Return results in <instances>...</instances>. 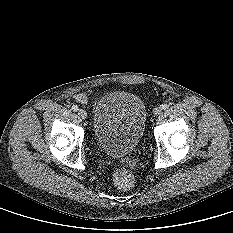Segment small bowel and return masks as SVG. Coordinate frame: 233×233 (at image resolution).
Returning a JSON list of instances; mask_svg holds the SVG:
<instances>
[{
    "instance_id": "obj_1",
    "label": "small bowel",
    "mask_w": 233,
    "mask_h": 233,
    "mask_svg": "<svg viewBox=\"0 0 233 233\" xmlns=\"http://www.w3.org/2000/svg\"><path fill=\"white\" fill-rule=\"evenodd\" d=\"M81 101H85V97L83 95H78Z\"/></svg>"
}]
</instances>
